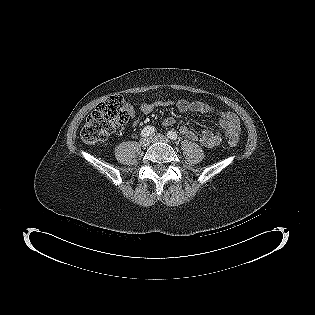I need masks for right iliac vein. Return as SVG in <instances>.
Wrapping results in <instances>:
<instances>
[{
	"instance_id": "obj_1",
	"label": "right iliac vein",
	"mask_w": 315,
	"mask_h": 315,
	"mask_svg": "<svg viewBox=\"0 0 315 315\" xmlns=\"http://www.w3.org/2000/svg\"><path fill=\"white\" fill-rule=\"evenodd\" d=\"M150 138H147V137H144V138H141L140 139V145H141V147H147L149 144H150Z\"/></svg>"
}]
</instances>
